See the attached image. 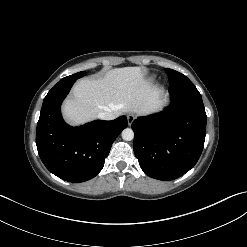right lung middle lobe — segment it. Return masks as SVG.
<instances>
[{
    "instance_id": "right-lung-middle-lobe-1",
    "label": "right lung middle lobe",
    "mask_w": 247,
    "mask_h": 247,
    "mask_svg": "<svg viewBox=\"0 0 247 247\" xmlns=\"http://www.w3.org/2000/svg\"><path fill=\"white\" fill-rule=\"evenodd\" d=\"M85 74H86V73H85L84 71L78 72V73H76V74H73V75H70V76H67V77L63 78V79H61L60 81H68V80H73V79L76 80V79L82 77V76L85 75Z\"/></svg>"
}]
</instances>
